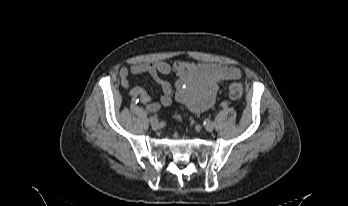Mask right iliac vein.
I'll return each instance as SVG.
<instances>
[{
	"label": "right iliac vein",
	"instance_id": "obj_1",
	"mask_svg": "<svg viewBox=\"0 0 348 206\" xmlns=\"http://www.w3.org/2000/svg\"><path fill=\"white\" fill-rule=\"evenodd\" d=\"M149 121H150L152 128L156 129L159 127V121L156 118L150 117Z\"/></svg>",
	"mask_w": 348,
	"mask_h": 206
}]
</instances>
